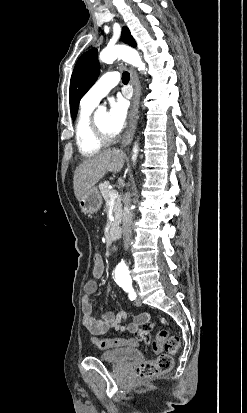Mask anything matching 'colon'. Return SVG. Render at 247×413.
Returning <instances> with one entry per match:
<instances>
[{
    "mask_svg": "<svg viewBox=\"0 0 247 413\" xmlns=\"http://www.w3.org/2000/svg\"><path fill=\"white\" fill-rule=\"evenodd\" d=\"M105 270V265L101 263L99 256L92 258V275L100 276L101 272ZM135 331V330H134ZM157 337L152 338V354L158 356L155 360L146 362L137 368L135 373L136 381H151L152 376L169 372L173 366L172 357H167L164 351V344L171 342L173 349L168 351L169 355H180L181 347L179 346V338L176 336H170L168 332H156ZM140 340L114 338L111 340L93 339L94 345L99 349H107L119 346L136 347L139 345Z\"/></svg>",
    "mask_w": 247,
    "mask_h": 413,
    "instance_id": "1",
    "label": "colon"
}]
</instances>
